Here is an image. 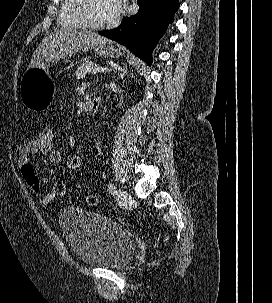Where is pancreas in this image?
Listing matches in <instances>:
<instances>
[{
  "label": "pancreas",
  "mask_w": 272,
  "mask_h": 303,
  "mask_svg": "<svg viewBox=\"0 0 272 303\" xmlns=\"http://www.w3.org/2000/svg\"><path fill=\"white\" fill-rule=\"evenodd\" d=\"M95 68H96V64H94L92 61H85L84 63H82L80 65V67L78 68V70L75 73V76L77 78H83L86 75H88L89 73H91L92 70Z\"/></svg>",
  "instance_id": "pancreas-1"
}]
</instances>
